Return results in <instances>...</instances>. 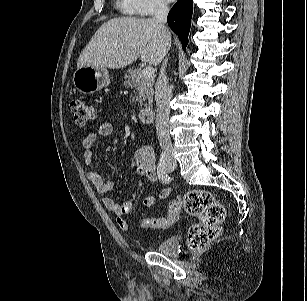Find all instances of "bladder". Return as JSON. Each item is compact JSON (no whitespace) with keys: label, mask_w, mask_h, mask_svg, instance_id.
<instances>
[{"label":"bladder","mask_w":307,"mask_h":301,"mask_svg":"<svg viewBox=\"0 0 307 301\" xmlns=\"http://www.w3.org/2000/svg\"><path fill=\"white\" fill-rule=\"evenodd\" d=\"M180 238L172 235L161 240L155 247V251L165 255H174L178 251Z\"/></svg>","instance_id":"31cf9c89"}]
</instances>
